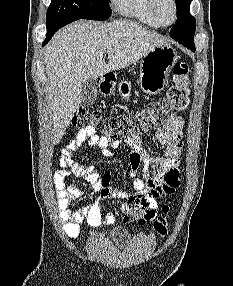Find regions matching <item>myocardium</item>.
I'll return each instance as SVG.
<instances>
[{
	"mask_svg": "<svg viewBox=\"0 0 233 286\" xmlns=\"http://www.w3.org/2000/svg\"><path fill=\"white\" fill-rule=\"evenodd\" d=\"M149 1H150L151 14L160 26L168 27V26H171L172 24H174L176 22V20L178 18V6H177L176 0H169V2L171 3V5L173 7V18H172L171 22H169V23L162 22L158 16L157 8H158L159 0H149Z\"/></svg>",
	"mask_w": 233,
	"mask_h": 286,
	"instance_id": "obj_1",
	"label": "myocardium"
}]
</instances>
